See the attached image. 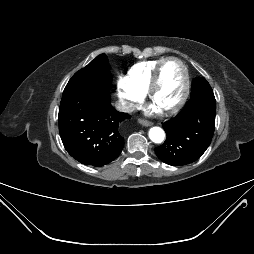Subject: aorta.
Here are the masks:
<instances>
[{
    "instance_id": "obj_1",
    "label": "aorta",
    "mask_w": 254,
    "mask_h": 254,
    "mask_svg": "<svg viewBox=\"0 0 254 254\" xmlns=\"http://www.w3.org/2000/svg\"><path fill=\"white\" fill-rule=\"evenodd\" d=\"M149 138L154 143H161L165 138V133L160 127H152L149 130Z\"/></svg>"
}]
</instances>
